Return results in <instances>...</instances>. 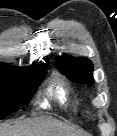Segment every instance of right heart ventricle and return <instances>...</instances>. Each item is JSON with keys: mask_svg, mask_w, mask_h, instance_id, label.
<instances>
[{"mask_svg": "<svg viewBox=\"0 0 117 136\" xmlns=\"http://www.w3.org/2000/svg\"><path fill=\"white\" fill-rule=\"evenodd\" d=\"M51 103L64 109L69 108L72 104L70 90L61 80H55L47 87L40 104L42 107H49Z\"/></svg>", "mask_w": 117, "mask_h": 136, "instance_id": "right-heart-ventricle-1", "label": "right heart ventricle"}]
</instances>
